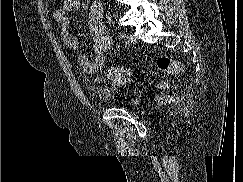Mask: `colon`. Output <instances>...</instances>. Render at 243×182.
I'll list each match as a JSON object with an SVG mask.
<instances>
[{"label":"colon","instance_id":"1","mask_svg":"<svg viewBox=\"0 0 243 182\" xmlns=\"http://www.w3.org/2000/svg\"><path fill=\"white\" fill-rule=\"evenodd\" d=\"M157 66L162 72L166 73L179 72L182 68L179 61L168 56L160 57ZM103 75L107 80L120 82L127 79L131 75V71L123 67H109L104 70Z\"/></svg>","mask_w":243,"mask_h":182}]
</instances>
